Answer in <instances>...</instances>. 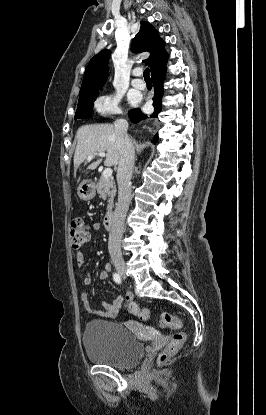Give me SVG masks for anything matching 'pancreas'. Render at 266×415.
<instances>
[{
    "label": "pancreas",
    "instance_id": "cf45deb5",
    "mask_svg": "<svg viewBox=\"0 0 266 415\" xmlns=\"http://www.w3.org/2000/svg\"><path fill=\"white\" fill-rule=\"evenodd\" d=\"M97 193L102 199H108L107 211L111 212L113 208L114 198L116 196V186L112 177L104 178L101 176L96 185Z\"/></svg>",
    "mask_w": 266,
    "mask_h": 415
}]
</instances>
